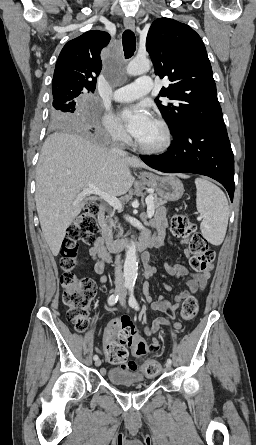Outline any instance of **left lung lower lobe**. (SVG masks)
Masks as SVG:
<instances>
[{"mask_svg":"<svg viewBox=\"0 0 256 445\" xmlns=\"http://www.w3.org/2000/svg\"><path fill=\"white\" fill-rule=\"evenodd\" d=\"M169 150L161 155H140L150 167L166 173H196L219 181L234 195V158L223 120L193 118L175 133Z\"/></svg>","mask_w":256,"mask_h":445,"instance_id":"0a47b994","label":"left lung lower lobe"}]
</instances>
